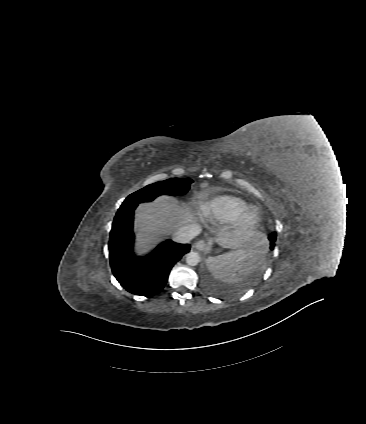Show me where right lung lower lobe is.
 <instances>
[{
    "instance_id": "obj_1",
    "label": "right lung lower lobe",
    "mask_w": 366,
    "mask_h": 424,
    "mask_svg": "<svg viewBox=\"0 0 366 424\" xmlns=\"http://www.w3.org/2000/svg\"><path fill=\"white\" fill-rule=\"evenodd\" d=\"M136 207H120L114 218L109 239L110 265L114 276L128 292L152 296L164 287L171 268L189 252L190 245L167 240L148 256H135L133 214Z\"/></svg>"
}]
</instances>
